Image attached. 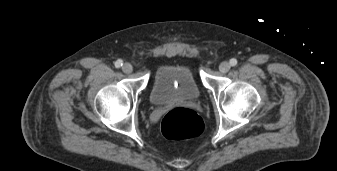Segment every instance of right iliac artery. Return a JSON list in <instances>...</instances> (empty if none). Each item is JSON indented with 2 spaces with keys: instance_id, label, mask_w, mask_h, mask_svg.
I'll use <instances>...</instances> for the list:
<instances>
[{
  "instance_id": "right-iliac-artery-1",
  "label": "right iliac artery",
  "mask_w": 337,
  "mask_h": 171,
  "mask_svg": "<svg viewBox=\"0 0 337 171\" xmlns=\"http://www.w3.org/2000/svg\"><path fill=\"white\" fill-rule=\"evenodd\" d=\"M122 65H123L122 60H117V61L115 62V67H116V68H120Z\"/></svg>"
}]
</instances>
